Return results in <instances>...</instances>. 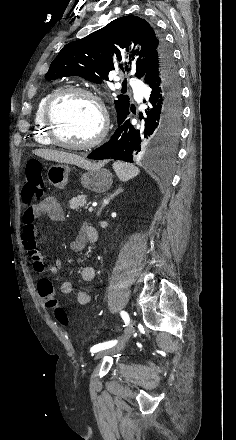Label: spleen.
<instances>
[{
  "instance_id": "spleen-1",
  "label": "spleen",
  "mask_w": 236,
  "mask_h": 440,
  "mask_svg": "<svg viewBox=\"0 0 236 440\" xmlns=\"http://www.w3.org/2000/svg\"><path fill=\"white\" fill-rule=\"evenodd\" d=\"M113 169L121 181H128L140 173L138 167L121 161H115L113 163Z\"/></svg>"
}]
</instances>
